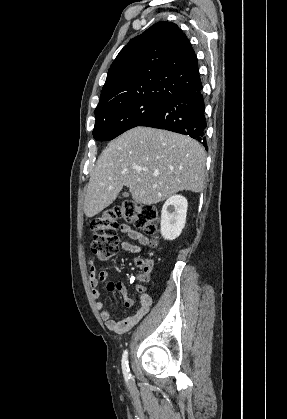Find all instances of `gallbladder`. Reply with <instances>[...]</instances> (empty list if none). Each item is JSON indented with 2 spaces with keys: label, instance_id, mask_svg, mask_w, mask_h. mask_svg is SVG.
<instances>
[{
  "label": "gallbladder",
  "instance_id": "obj_1",
  "mask_svg": "<svg viewBox=\"0 0 287 419\" xmlns=\"http://www.w3.org/2000/svg\"><path fill=\"white\" fill-rule=\"evenodd\" d=\"M123 196L127 197V196H129V193L124 192V193H123Z\"/></svg>",
  "mask_w": 287,
  "mask_h": 419
}]
</instances>
